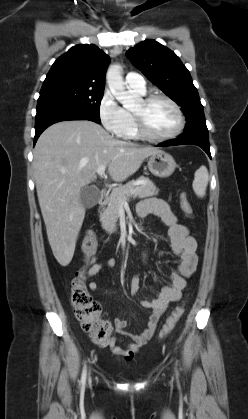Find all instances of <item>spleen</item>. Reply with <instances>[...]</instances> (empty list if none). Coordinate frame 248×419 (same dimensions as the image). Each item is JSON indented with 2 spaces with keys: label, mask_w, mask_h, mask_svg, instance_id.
<instances>
[{
  "label": "spleen",
  "mask_w": 248,
  "mask_h": 419,
  "mask_svg": "<svg viewBox=\"0 0 248 419\" xmlns=\"http://www.w3.org/2000/svg\"><path fill=\"white\" fill-rule=\"evenodd\" d=\"M209 174L206 166H201L194 175L193 190L198 197H204L208 185Z\"/></svg>",
  "instance_id": "3e777b00"
}]
</instances>
